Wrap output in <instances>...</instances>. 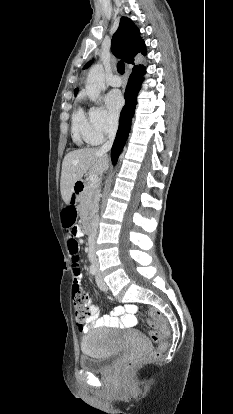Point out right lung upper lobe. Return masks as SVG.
Listing matches in <instances>:
<instances>
[{
	"mask_svg": "<svg viewBox=\"0 0 233 414\" xmlns=\"http://www.w3.org/2000/svg\"><path fill=\"white\" fill-rule=\"evenodd\" d=\"M111 50L117 57H121L126 63L135 65L138 56L146 55L145 43L140 37L139 29L127 17H122L119 27L112 38ZM91 62L85 65L89 67ZM145 68L143 65H136L132 71ZM78 89L74 90L77 94Z\"/></svg>",
	"mask_w": 233,
	"mask_h": 414,
	"instance_id": "1",
	"label": "right lung upper lobe"
}]
</instances>
